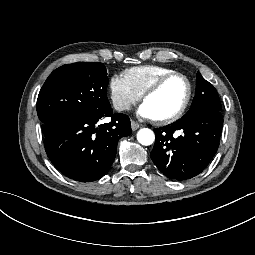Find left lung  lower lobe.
<instances>
[{"label":"left lung lower lobe","instance_id":"left-lung-lower-lobe-1","mask_svg":"<svg viewBox=\"0 0 255 255\" xmlns=\"http://www.w3.org/2000/svg\"><path fill=\"white\" fill-rule=\"evenodd\" d=\"M222 126L220 111L192 109L176 122L154 130L151 159L169 179H191L203 172L217 152Z\"/></svg>","mask_w":255,"mask_h":255}]
</instances>
